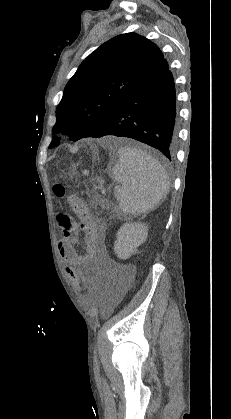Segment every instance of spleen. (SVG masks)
Instances as JSON below:
<instances>
[{"instance_id":"1","label":"spleen","mask_w":231,"mask_h":419,"mask_svg":"<svg viewBox=\"0 0 231 419\" xmlns=\"http://www.w3.org/2000/svg\"><path fill=\"white\" fill-rule=\"evenodd\" d=\"M112 177L119 183L117 198L125 215L153 210L169 192L164 168L153 156L137 148H119Z\"/></svg>"}]
</instances>
